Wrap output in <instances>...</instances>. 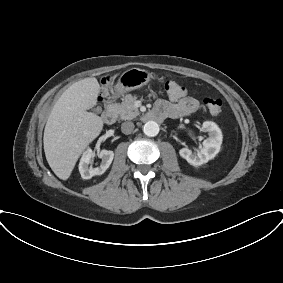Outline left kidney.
I'll return each mask as SVG.
<instances>
[{"label": "left kidney", "instance_id": "obj_1", "mask_svg": "<svg viewBox=\"0 0 283 283\" xmlns=\"http://www.w3.org/2000/svg\"><path fill=\"white\" fill-rule=\"evenodd\" d=\"M202 130L208 132L209 137L203 141V148L197 154L188 148L179 151L182 158L196 167L207 163L219 153L223 138L220 128L214 122L205 121Z\"/></svg>", "mask_w": 283, "mask_h": 283}]
</instances>
